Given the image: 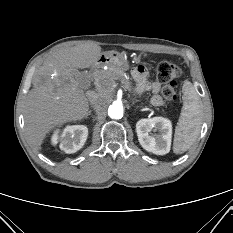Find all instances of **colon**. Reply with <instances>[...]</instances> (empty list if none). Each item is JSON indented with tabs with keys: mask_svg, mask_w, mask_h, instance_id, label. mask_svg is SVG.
<instances>
[{
	"mask_svg": "<svg viewBox=\"0 0 233 233\" xmlns=\"http://www.w3.org/2000/svg\"><path fill=\"white\" fill-rule=\"evenodd\" d=\"M157 78L165 83L162 94L167 100H175L178 84L176 79L181 76V69L171 61H161L156 69Z\"/></svg>",
	"mask_w": 233,
	"mask_h": 233,
	"instance_id": "colon-1",
	"label": "colon"
}]
</instances>
